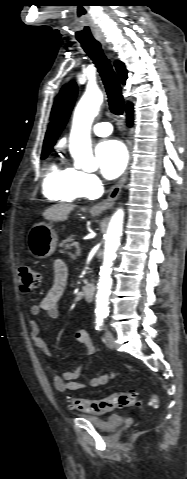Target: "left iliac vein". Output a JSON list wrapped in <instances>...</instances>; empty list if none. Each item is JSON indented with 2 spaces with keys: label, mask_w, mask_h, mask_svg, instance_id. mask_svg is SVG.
I'll return each mask as SVG.
<instances>
[{
  "label": "left iliac vein",
  "mask_w": 187,
  "mask_h": 479,
  "mask_svg": "<svg viewBox=\"0 0 187 479\" xmlns=\"http://www.w3.org/2000/svg\"><path fill=\"white\" fill-rule=\"evenodd\" d=\"M104 339H105V342H106L107 346L110 349H114L115 339H114V336H113V334H112V332L109 328H106V330H105Z\"/></svg>",
  "instance_id": "left-iliac-vein-1"
}]
</instances>
